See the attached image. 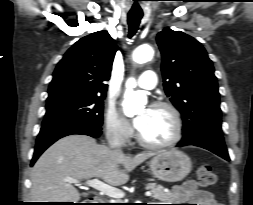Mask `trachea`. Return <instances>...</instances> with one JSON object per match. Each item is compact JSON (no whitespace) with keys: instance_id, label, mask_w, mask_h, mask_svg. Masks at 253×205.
<instances>
[{"instance_id":"1","label":"trachea","mask_w":253,"mask_h":205,"mask_svg":"<svg viewBox=\"0 0 253 205\" xmlns=\"http://www.w3.org/2000/svg\"><path fill=\"white\" fill-rule=\"evenodd\" d=\"M142 16H143L142 13L128 14V25H129L128 37L129 38L133 37L135 33L137 32Z\"/></svg>"}]
</instances>
